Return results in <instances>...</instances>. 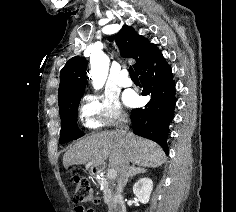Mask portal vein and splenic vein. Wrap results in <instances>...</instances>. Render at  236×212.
Instances as JSON below:
<instances>
[{
	"mask_svg": "<svg viewBox=\"0 0 236 212\" xmlns=\"http://www.w3.org/2000/svg\"><path fill=\"white\" fill-rule=\"evenodd\" d=\"M117 176V171L115 169H110L107 173L109 179H114Z\"/></svg>",
	"mask_w": 236,
	"mask_h": 212,
	"instance_id": "portal-vein-and-splenic-vein-1",
	"label": "portal vein and splenic vein"
}]
</instances>
